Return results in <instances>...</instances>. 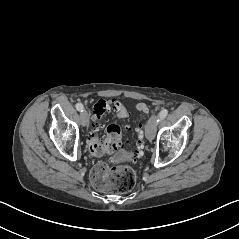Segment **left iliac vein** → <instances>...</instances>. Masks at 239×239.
I'll return each instance as SVG.
<instances>
[{
    "label": "left iliac vein",
    "mask_w": 239,
    "mask_h": 239,
    "mask_svg": "<svg viewBox=\"0 0 239 239\" xmlns=\"http://www.w3.org/2000/svg\"><path fill=\"white\" fill-rule=\"evenodd\" d=\"M158 119H159L158 115H153L148 120V123H147V126H146V137L149 140H152V139L155 138L156 128H157V125H158V122H157Z\"/></svg>",
    "instance_id": "left-iliac-vein-1"
}]
</instances>
